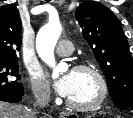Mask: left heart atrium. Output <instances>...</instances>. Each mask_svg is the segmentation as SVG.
<instances>
[{"label":"left heart atrium","instance_id":"left-heart-atrium-1","mask_svg":"<svg viewBox=\"0 0 133 118\" xmlns=\"http://www.w3.org/2000/svg\"><path fill=\"white\" fill-rule=\"evenodd\" d=\"M73 87H74L73 71L64 74L54 83L55 91L62 97L68 98L72 93Z\"/></svg>","mask_w":133,"mask_h":118}]
</instances>
